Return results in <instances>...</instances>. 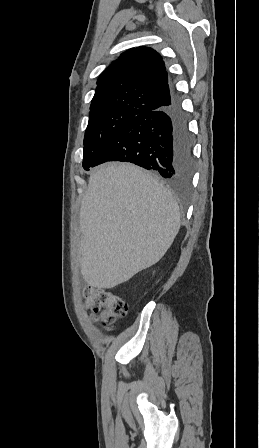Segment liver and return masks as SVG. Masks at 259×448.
<instances>
[{
	"label": "liver",
	"instance_id": "1",
	"mask_svg": "<svg viewBox=\"0 0 259 448\" xmlns=\"http://www.w3.org/2000/svg\"><path fill=\"white\" fill-rule=\"evenodd\" d=\"M80 274L92 288H115L159 262L180 228L171 192L126 162L100 166L80 206Z\"/></svg>",
	"mask_w": 259,
	"mask_h": 448
}]
</instances>
